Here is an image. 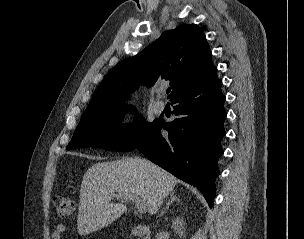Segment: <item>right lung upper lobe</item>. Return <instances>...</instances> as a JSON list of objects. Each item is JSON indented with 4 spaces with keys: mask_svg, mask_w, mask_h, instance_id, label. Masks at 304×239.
<instances>
[{
    "mask_svg": "<svg viewBox=\"0 0 304 239\" xmlns=\"http://www.w3.org/2000/svg\"><path fill=\"white\" fill-rule=\"evenodd\" d=\"M211 57L203 29L196 24L166 31L142 52L114 66L81 118L124 105L140 84L151 87L157 81L169 80L173 90L168 97L172 99L216 70Z\"/></svg>",
    "mask_w": 304,
    "mask_h": 239,
    "instance_id": "cb5924a9",
    "label": "right lung upper lobe"
}]
</instances>
